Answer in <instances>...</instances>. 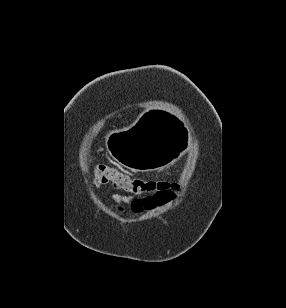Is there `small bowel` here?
<instances>
[{
    "label": "small bowel",
    "instance_id": "1",
    "mask_svg": "<svg viewBox=\"0 0 286 308\" xmlns=\"http://www.w3.org/2000/svg\"><path fill=\"white\" fill-rule=\"evenodd\" d=\"M174 198L175 193L172 190H169L164 195L158 197L135 198L121 194H115L112 196V200L118 211L121 212L125 206H128L136 214L154 208L157 205L170 202Z\"/></svg>",
    "mask_w": 286,
    "mask_h": 308
}]
</instances>
